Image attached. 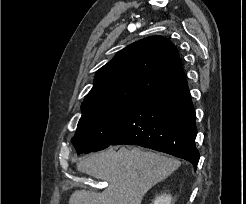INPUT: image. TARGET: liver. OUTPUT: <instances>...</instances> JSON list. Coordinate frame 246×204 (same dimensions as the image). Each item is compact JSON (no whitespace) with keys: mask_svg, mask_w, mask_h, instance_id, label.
<instances>
[{"mask_svg":"<svg viewBox=\"0 0 246 204\" xmlns=\"http://www.w3.org/2000/svg\"><path fill=\"white\" fill-rule=\"evenodd\" d=\"M179 166L174 158L138 147H111L77 163L78 171L107 181L108 187L101 193L77 190L69 204H141L145 193Z\"/></svg>","mask_w":246,"mask_h":204,"instance_id":"1","label":"liver"}]
</instances>
